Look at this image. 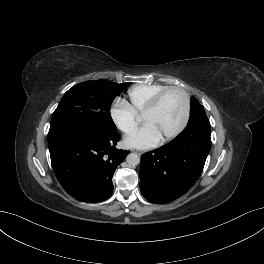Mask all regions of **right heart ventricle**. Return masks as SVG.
<instances>
[{
    "instance_id": "right-heart-ventricle-1",
    "label": "right heart ventricle",
    "mask_w": 264,
    "mask_h": 264,
    "mask_svg": "<svg viewBox=\"0 0 264 264\" xmlns=\"http://www.w3.org/2000/svg\"><path fill=\"white\" fill-rule=\"evenodd\" d=\"M164 84H142L130 88L127 92L128 104L137 113L142 114L152 99L163 89Z\"/></svg>"
}]
</instances>
